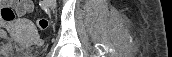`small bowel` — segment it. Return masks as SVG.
Here are the masks:
<instances>
[{
	"mask_svg": "<svg viewBox=\"0 0 172 57\" xmlns=\"http://www.w3.org/2000/svg\"><path fill=\"white\" fill-rule=\"evenodd\" d=\"M12 3L17 5L19 15L25 14L27 11H30L32 8V2L30 0L13 1ZM1 25L2 23H0V26ZM0 38L3 41L0 46L1 52L3 53L10 52L17 47L16 43L8 37L6 31L3 30L2 28H0Z\"/></svg>",
	"mask_w": 172,
	"mask_h": 57,
	"instance_id": "c3829d8e",
	"label": "small bowel"
}]
</instances>
